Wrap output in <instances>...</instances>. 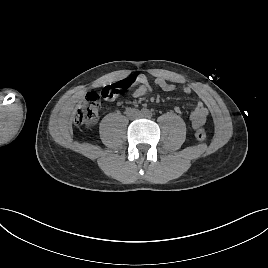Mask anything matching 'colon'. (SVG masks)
Listing matches in <instances>:
<instances>
[{
  "instance_id": "obj_1",
  "label": "colon",
  "mask_w": 268,
  "mask_h": 268,
  "mask_svg": "<svg viewBox=\"0 0 268 268\" xmlns=\"http://www.w3.org/2000/svg\"><path fill=\"white\" fill-rule=\"evenodd\" d=\"M134 84L135 80L132 77H128L120 82L103 87L100 93L89 92L83 104L75 112V124L86 129L92 128L98 120L101 98L113 100L122 91L130 89ZM194 137L198 142H202L207 137L206 131L203 128H199L195 131Z\"/></svg>"
}]
</instances>
